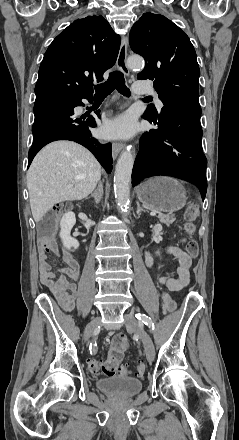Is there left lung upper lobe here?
Wrapping results in <instances>:
<instances>
[{"label": "left lung upper lobe", "instance_id": "1", "mask_svg": "<svg viewBox=\"0 0 239 440\" xmlns=\"http://www.w3.org/2000/svg\"><path fill=\"white\" fill-rule=\"evenodd\" d=\"M131 49L146 61L138 79L154 80L159 98L165 104L176 98L199 100L200 69L195 49L176 24L160 14L144 13L133 25ZM147 115L156 117L155 108Z\"/></svg>", "mask_w": 239, "mask_h": 440}]
</instances>
